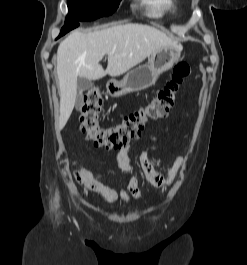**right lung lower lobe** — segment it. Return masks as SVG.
I'll return each instance as SVG.
<instances>
[{
  "label": "right lung lower lobe",
  "mask_w": 247,
  "mask_h": 265,
  "mask_svg": "<svg viewBox=\"0 0 247 265\" xmlns=\"http://www.w3.org/2000/svg\"><path fill=\"white\" fill-rule=\"evenodd\" d=\"M78 25H79V24L76 23V22H74V23H72V24H65V26L61 29V32H60L58 38L61 37V36H63V35L66 34L67 32H69L70 30L76 28Z\"/></svg>",
  "instance_id": "obj_1"
}]
</instances>
